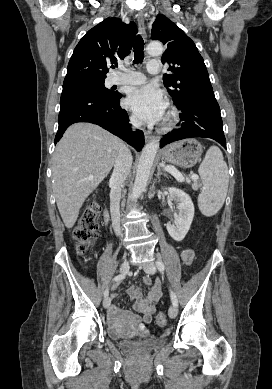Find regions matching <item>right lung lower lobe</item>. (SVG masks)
Returning <instances> with one entry per match:
<instances>
[{
    "label": "right lung lower lobe",
    "instance_id": "98d812e1",
    "mask_svg": "<svg viewBox=\"0 0 272 389\" xmlns=\"http://www.w3.org/2000/svg\"><path fill=\"white\" fill-rule=\"evenodd\" d=\"M121 97L120 93L116 97H105L88 91H62L55 144L71 124L90 122L117 135L140 151L145 143L144 134L140 130L132 132L127 112L120 107Z\"/></svg>",
    "mask_w": 272,
    "mask_h": 389
}]
</instances>
